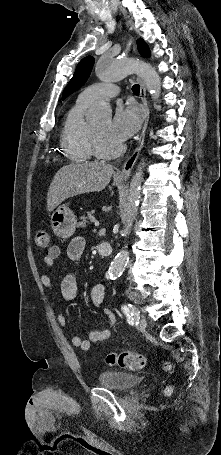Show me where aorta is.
<instances>
[{
  "label": "aorta",
  "instance_id": "obj_1",
  "mask_svg": "<svg viewBox=\"0 0 221 455\" xmlns=\"http://www.w3.org/2000/svg\"><path fill=\"white\" fill-rule=\"evenodd\" d=\"M139 74L150 95L155 101H158L161 94V79L155 69L146 62L122 57L118 60H102L96 67V74L101 81L115 82L124 79L130 74ZM112 110L104 100L98 101L89 110L88 120L91 123L99 122L111 116ZM143 164H139L135 175L130 182V189L127 197V203L124 207L123 222L124 228L122 235L129 236L133 222L137 216L139 200L141 197V185L143 180ZM129 260L127 249H121L115 256L109 267L110 278L119 276Z\"/></svg>",
  "mask_w": 221,
  "mask_h": 455
}]
</instances>
